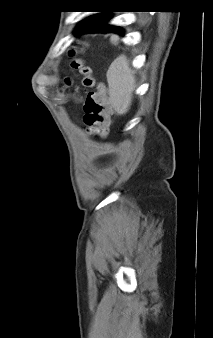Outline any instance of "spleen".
<instances>
[{
  "label": "spleen",
  "mask_w": 213,
  "mask_h": 338,
  "mask_svg": "<svg viewBox=\"0 0 213 338\" xmlns=\"http://www.w3.org/2000/svg\"><path fill=\"white\" fill-rule=\"evenodd\" d=\"M107 82L112 107L118 114L127 113L136 87V78L124 54L111 63L107 71Z\"/></svg>",
  "instance_id": "3e777b00"
}]
</instances>
